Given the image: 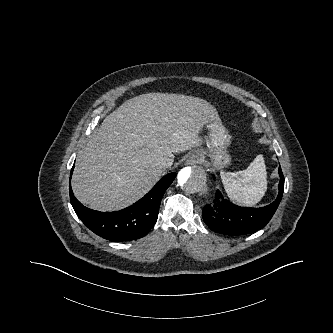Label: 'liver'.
I'll return each instance as SVG.
<instances>
[{"mask_svg": "<svg viewBox=\"0 0 333 333\" xmlns=\"http://www.w3.org/2000/svg\"><path fill=\"white\" fill-rule=\"evenodd\" d=\"M220 118L207 101L180 94L147 93L109 114L76 159L72 190L84 205L116 211L143 197L160 179L159 161L200 147L203 127Z\"/></svg>", "mask_w": 333, "mask_h": 333, "instance_id": "6515ba94", "label": "liver"}]
</instances>
